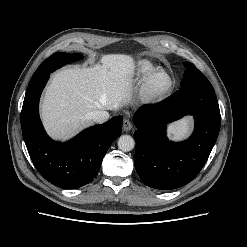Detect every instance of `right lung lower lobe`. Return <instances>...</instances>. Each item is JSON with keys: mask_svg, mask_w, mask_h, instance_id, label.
Segmentation results:
<instances>
[{"mask_svg": "<svg viewBox=\"0 0 247 247\" xmlns=\"http://www.w3.org/2000/svg\"><path fill=\"white\" fill-rule=\"evenodd\" d=\"M49 74L29 83L21 111L22 134L39 173L55 186L75 189L88 184L98 173L104 155L121 134L123 117L116 116L90 127L69 142L53 141L46 134L38 112Z\"/></svg>", "mask_w": 247, "mask_h": 247, "instance_id": "1", "label": "right lung lower lobe"}]
</instances>
